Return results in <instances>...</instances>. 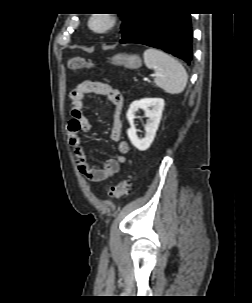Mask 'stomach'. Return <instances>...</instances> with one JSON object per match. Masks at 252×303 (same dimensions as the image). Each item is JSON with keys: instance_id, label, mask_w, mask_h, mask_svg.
Wrapping results in <instances>:
<instances>
[{"instance_id": "1", "label": "stomach", "mask_w": 252, "mask_h": 303, "mask_svg": "<svg viewBox=\"0 0 252 303\" xmlns=\"http://www.w3.org/2000/svg\"><path fill=\"white\" fill-rule=\"evenodd\" d=\"M111 61L115 65H123L130 69H137L142 65V60L138 55H127L123 53L113 56Z\"/></svg>"}]
</instances>
